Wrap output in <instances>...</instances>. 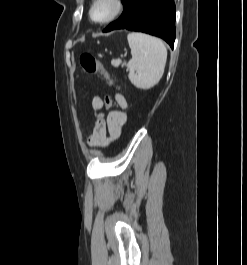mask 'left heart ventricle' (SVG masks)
I'll return each mask as SVG.
<instances>
[{
    "label": "left heart ventricle",
    "instance_id": "left-heart-ventricle-1",
    "mask_svg": "<svg viewBox=\"0 0 247 265\" xmlns=\"http://www.w3.org/2000/svg\"><path fill=\"white\" fill-rule=\"evenodd\" d=\"M110 9V5L107 2H101L94 9L93 15L95 19H103L109 14Z\"/></svg>",
    "mask_w": 247,
    "mask_h": 265
}]
</instances>
